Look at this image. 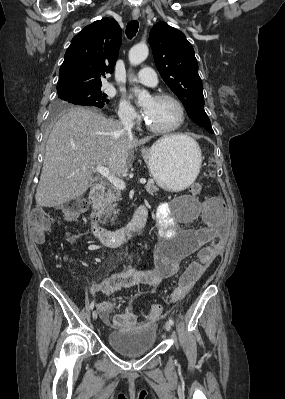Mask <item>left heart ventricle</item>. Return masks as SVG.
Masks as SVG:
<instances>
[{"label":"left heart ventricle","mask_w":285,"mask_h":399,"mask_svg":"<svg viewBox=\"0 0 285 399\" xmlns=\"http://www.w3.org/2000/svg\"><path fill=\"white\" fill-rule=\"evenodd\" d=\"M147 120L158 128L176 125L181 119L178 105L171 100L150 99L144 103Z\"/></svg>","instance_id":"left-heart-ventricle-1"}]
</instances>
